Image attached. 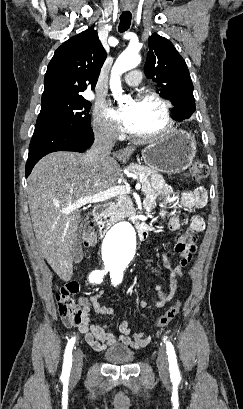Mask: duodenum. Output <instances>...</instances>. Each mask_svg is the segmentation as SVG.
I'll return each mask as SVG.
<instances>
[{"label": "duodenum", "mask_w": 243, "mask_h": 409, "mask_svg": "<svg viewBox=\"0 0 243 409\" xmlns=\"http://www.w3.org/2000/svg\"><path fill=\"white\" fill-rule=\"evenodd\" d=\"M108 204L107 203H99L93 209V221L98 227V234L99 237H104L109 228L114 224L112 218L107 215ZM136 229L138 232V236L141 240L146 239L148 235L147 227L142 222L136 223Z\"/></svg>", "instance_id": "duodenum-1"}]
</instances>
